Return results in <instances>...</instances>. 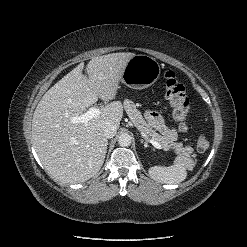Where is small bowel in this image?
<instances>
[{
    "instance_id": "small-bowel-1",
    "label": "small bowel",
    "mask_w": 247,
    "mask_h": 247,
    "mask_svg": "<svg viewBox=\"0 0 247 247\" xmlns=\"http://www.w3.org/2000/svg\"><path fill=\"white\" fill-rule=\"evenodd\" d=\"M147 121L157 129L162 135L169 139H174L176 137V132L173 128L166 125L163 116L153 110H148L145 114Z\"/></svg>"
}]
</instances>
